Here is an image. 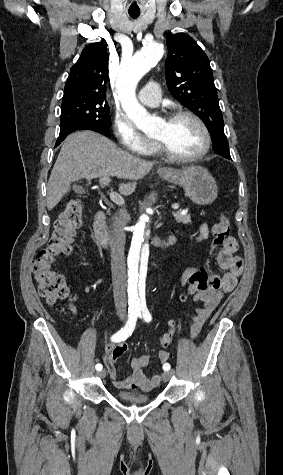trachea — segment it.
I'll return each mask as SVG.
<instances>
[{"instance_id":"trachea-1","label":"trachea","mask_w":283,"mask_h":475,"mask_svg":"<svg viewBox=\"0 0 283 475\" xmlns=\"http://www.w3.org/2000/svg\"><path fill=\"white\" fill-rule=\"evenodd\" d=\"M129 15H130V17L135 19V18L139 17L140 12H131V13H129Z\"/></svg>"}]
</instances>
